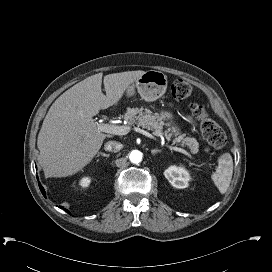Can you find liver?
<instances>
[{"instance_id":"1","label":"liver","mask_w":272,"mask_h":272,"mask_svg":"<svg viewBox=\"0 0 272 272\" xmlns=\"http://www.w3.org/2000/svg\"><path fill=\"white\" fill-rule=\"evenodd\" d=\"M145 71L102 73L75 84L50 107L38 134V162L46 177H65L82 170L109 135L98 130L93 116L117 105L128 87Z\"/></svg>"}]
</instances>
